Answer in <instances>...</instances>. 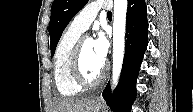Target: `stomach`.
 Wrapping results in <instances>:
<instances>
[{"label":"stomach","mask_w":193,"mask_h":112,"mask_svg":"<svg viewBox=\"0 0 193 112\" xmlns=\"http://www.w3.org/2000/svg\"><path fill=\"white\" fill-rule=\"evenodd\" d=\"M102 105L98 101H94L92 104V112H101Z\"/></svg>","instance_id":"0dacf381"}]
</instances>
